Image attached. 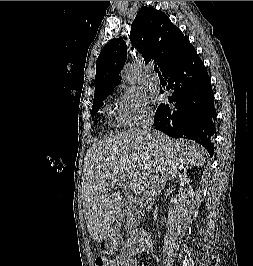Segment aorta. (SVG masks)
<instances>
[{"mask_svg": "<svg viewBox=\"0 0 253 266\" xmlns=\"http://www.w3.org/2000/svg\"><path fill=\"white\" fill-rule=\"evenodd\" d=\"M122 78L129 84L134 85V70L131 64H126L121 72Z\"/></svg>", "mask_w": 253, "mask_h": 266, "instance_id": "762f6f07", "label": "aorta"}]
</instances>
